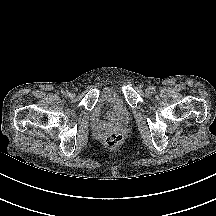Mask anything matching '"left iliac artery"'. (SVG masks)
<instances>
[{"label":"left iliac artery","instance_id":"obj_1","mask_svg":"<svg viewBox=\"0 0 216 216\" xmlns=\"http://www.w3.org/2000/svg\"><path fill=\"white\" fill-rule=\"evenodd\" d=\"M152 91H153V92L155 91V87H154V86H152Z\"/></svg>","mask_w":216,"mask_h":216}]
</instances>
